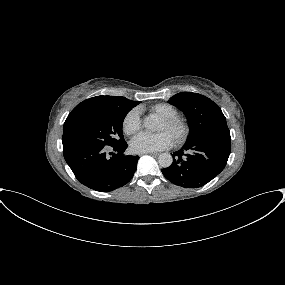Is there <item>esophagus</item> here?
Masks as SVG:
<instances>
[{"instance_id":"34e87169","label":"esophagus","mask_w":285,"mask_h":285,"mask_svg":"<svg viewBox=\"0 0 285 285\" xmlns=\"http://www.w3.org/2000/svg\"><path fill=\"white\" fill-rule=\"evenodd\" d=\"M149 154L152 155V156H158L160 153H158V152H150Z\"/></svg>"}]
</instances>
